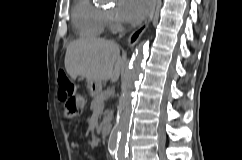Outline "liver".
Instances as JSON below:
<instances>
[{
    "label": "liver",
    "instance_id": "1",
    "mask_svg": "<svg viewBox=\"0 0 242 160\" xmlns=\"http://www.w3.org/2000/svg\"><path fill=\"white\" fill-rule=\"evenodd\" d=\"M65 68L70 77L77 76L86 80L118 81L124 67L119 46L108 40L95 38H80L67 47Z\"/></svg>",
    "mask_w": 242,
    "mask_h": 160
}]
</instances>
